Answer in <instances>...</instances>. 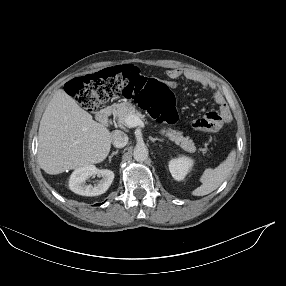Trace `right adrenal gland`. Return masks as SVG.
<instances>
[{
	"mask_svg": "<svg viewBox=\"0 0 286 286\" xmlns=\"http://www.w3.org/2000/svg\"><path fill=\"white\" fill-rule=\"evenodd\" d=\"M117 154H118V150L112 152V154L109 156V161H111L112 157H113L114 155H117Z\"/></svg>",
	"mask_w": 286,
	"mask_h": 286,
	"instance_id": "right-adrenal-gland-1",
	"label": "right adrenal gland"
}]
</instances>
